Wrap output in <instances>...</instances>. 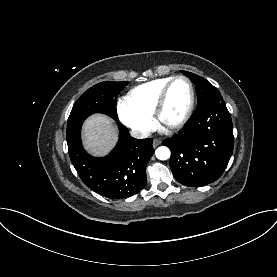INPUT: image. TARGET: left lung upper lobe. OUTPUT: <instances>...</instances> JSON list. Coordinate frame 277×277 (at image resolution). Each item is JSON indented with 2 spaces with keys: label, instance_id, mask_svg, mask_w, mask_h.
I'll list each match as a JSON object with an SVG mask.
<instances>
[{
  "label": "left lung upper lobe",
  "instance_id": "5c2ea615",
  "mask_svg": "<svg viewBox=\"0 0 277 277\" xmlns=\"http://www.w3.org/2000/svg\"><path fill=\"white\" fill-rule=\"evenodd\" d=\"M184 75L190 78V80L195 84L196 86V92H197V107L202 106L207 101L216 98L221 97L220 92L216 87H214L211 83H209L207 80H205L203 77L198 76L196 74L187 72V71H181Z\"/></svg>",
  "mask_w": 277,
  "mask_h": 277
}]
</instances>
